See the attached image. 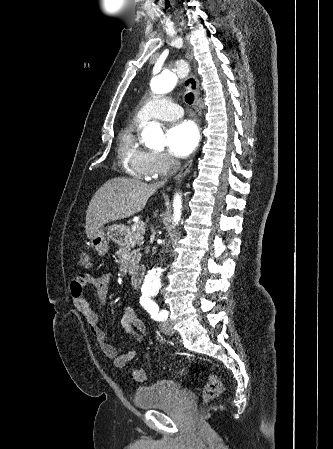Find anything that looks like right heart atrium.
Returning a JSON list of instances; mask_svg holds the SVG:
<instances>
[{
    "mask_svg": "<svg viewBox=\"0 0 333 449\" xmlns=\"http://www.w3.org/2000/svg\"><path fill=\"white\" fill-rule=\"evenodd\" d=\"M148 178H159L173 172L176 167L174 159L165 152H148L145 158Z\"/></svg>",
    "mask_w": 333,
    "mask_h": 449,
    "instance_id": "right-heart-atrium-1",
    "label": "right heart atrium"
}]
</instances>
